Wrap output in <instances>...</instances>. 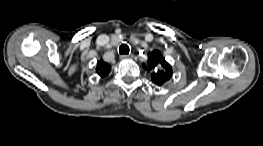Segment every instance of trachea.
Masks as SVG:
<instances>
[{"mask_svg": "<svg viewBox=\"0 0 263 146\" xmlns=\"http://www.w3.org/2000/svg\"><path fill=\"white\" fill-rule=\"evenodd\" d=\"M130 52V48L127 44H122L120 47H119V53L122 54V55H126V54H129Z\"/></svg>", "mask_w": 263, "mask_h": 146, "instance_id": "3493384b", "label": "trachea"}]
</instances>
